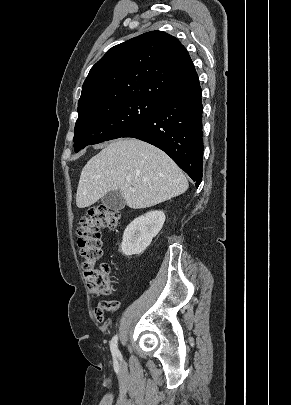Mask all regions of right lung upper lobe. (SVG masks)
<instances>
[{"mask_svg": "<svg viewBox=\"0 0 291 405\" xmlns=\"http://www.w3.org/2000/svg\"><path fill=\"white\" fill-rule=\"evenodd\" d=\"M197 80L188 51L177 38L162 31L147 32L112 47L91 68L78 110L132 97L160 100Z\"/></svg>", "mask_w": 291, "mask_h": 405, "instance_id": "right-lung-upper-lobe-1", "label": "right lung upper lobe"}]
</instances>
